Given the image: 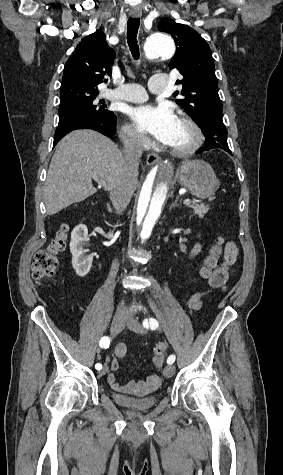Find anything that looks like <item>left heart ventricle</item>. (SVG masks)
<instances>
[{
	"mask_svg": "<svg viewBox=\"0 0 283 475\" xmlns=\"http://www.w3.org/2000/svg\"><path fill=\"white\" fill-rule=\"evenodd\" d=\"M172 132L174 135L170 141L166 142V145L173 149L185 147L192 138L191 130L179 117L177 118V122Z\"/></svg>",
	"mask_w": 283,
	"mask_h": 475,
	"instance_id": "obj_1",
	"label": "left heart ventricle"
}]
</instances>
